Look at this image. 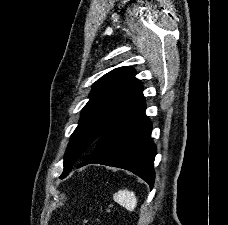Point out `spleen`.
Here are the masks:
<instances>
[{
  "label": "spleen",
  "mask_w": 228,
  "mask_h": 225,
  "mask_svg": "<svg viewBox=\"0 0 228 225\" xmlns=\"http://www.w3.org/2000/svg\"><path fill=\"white\" fill-rule=\"evenodd\" d=\"M114 201L122 205L127 211H134L137 207L138 199L135 197L133 191H128V189H123L114 195Z\"/></svg>",
  "instance_id": "1"
}]
</instances>
